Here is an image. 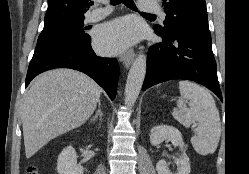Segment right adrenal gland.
Wrapping results in <instances>:
<instances>
[{
	"label": "right adrenal gland",
	"instance_id": "obj_1",
	"mask_svg": "<svg viewBox=\"0 0 249 174\" xmlns=\"http://www.w3.org/2000/svg\"><path fill=\"white\" fill-rule=\"evenodd\" d=\"M102 116H103V113L101 111V100L99 99L98 101V110L96 111L94 117L91 119L92 122H95L98 117L100 118V120H102Z\"/></svg>",
	"mask_w": 249,
	"mask_h": 174
}]
</instances>
